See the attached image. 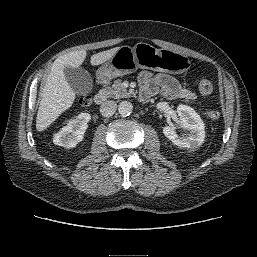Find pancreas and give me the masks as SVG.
<instances>
[{
    "mask_svg": "<svg viewBox=\"0 0 257 257\" xmlns=\"http://www.w3.org/2000/svg\"><path fill=\"white\" fill-rule=\"evenodd\" d=\"M103 92L106 93L107 97H112L114 99L126 98L130 96L127 90L123 87L120 79L115 80L111 87H106L103 89Z\"/></svg>",
    "mask_w": 257,
    "mask_h": 257,
    "instance_id": "pancreas-1",
    "label": "pancreas"
}]
</instances>
